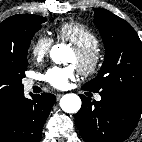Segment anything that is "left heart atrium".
<instances>
[{"label":"left heart atrium","instance_id":"39dd6f15","mask_svg":"<svg viewBox=\"0 0 142 142\" xmlns=\"http://www.w3.org/2000/svg\"><path fill=\"white\" fill-rule=\"evenodd\" d=\"M76 72L72 65L69 66H54L47 70L45 74V80L52 87L56 89H66L69 87L70 82L75 79Z\"/></svg>","mask_w":142,"mask_h":142}]
</instances>
